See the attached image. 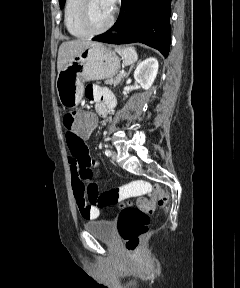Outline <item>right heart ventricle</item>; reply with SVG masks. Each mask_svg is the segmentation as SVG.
<instances>
[{
    "label": "right heart ventricle",
    "mask_w": 240,
    "mask_h": 288,
    "mask_svg": "<svg viewBox=\"0 0 240 288\" xmlns=\"http://www.w3.org/2000/svg\"><path fill=\"white\" fill-rule=\"evenodd\" d=\"M81 0H66L64 7V24L68 33L76 38H84L88 35L79 25L78 13Z\"/></svg>",
    "instance_id": "e07e8e85"
}]
</instances>
